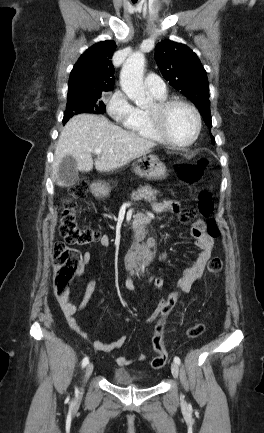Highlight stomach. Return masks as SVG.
<instances>
[{"label":"stomach","mask_w":264,"mask_h":433,"mask_svg":"<svg viewBox=\"0 0 264 433\" xmlns=\"http://www.w3.org/2000/svg\"><path fill=\"white\" fill-rule=\"evenodd\" d=\"M134 172L148 180H162L167 177V168L159 158L152 154H145L138 158L134 164ZM95 189L100 194H108L110 187L106 184L97 183Z\"/></svg>","instance_id":"0dacf381"}]
</instances>
